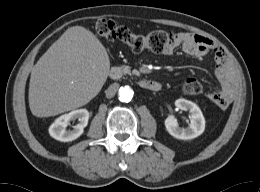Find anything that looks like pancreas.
<instances>
[{"label": "pancreas", "instance_id": "obj_1", "mask_svg": "<svg viewBox=\"0 0 260 192\" xmlns=\"http://www.w3.org/2000/svg\"><path fill=\"white\" fill-rule=\"evenodd\" d=\"M121 69H122V71H123V73L124 74H133V75H139L140 73H139V71H137V70H133L132 72H131V70H130V67L129 66H127V65H122L121 66Z\"/></svg>", "mask_w": 260, "mask_h": 192}]
</instances>
